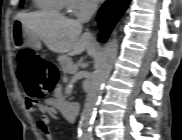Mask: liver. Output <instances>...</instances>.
<instances>
[{
    "mask_svg": "<svg viewBox=\"0 0 182 140\" xmlns=\"http://www.w3.org/2000/svg\"><path fill=\"white\" fill-rule=\"evenodd\" d=\"M17 19L25 30L41 39L47 48L55 53L79 55L90 50L95 44L94 36L82 33V24L59 13H20Z\"/></svg>",
    "mask_w": 182,
    "mask_h": 140,
    "instance_id": "liver-1",
    "label": "liver"
}]
</instances>
